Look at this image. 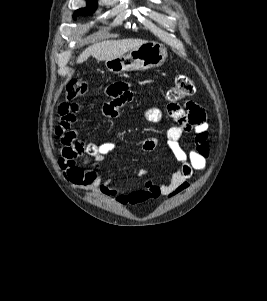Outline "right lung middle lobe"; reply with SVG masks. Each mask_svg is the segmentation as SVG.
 Segmentation results:
<instances>
[{"instance_id":"obj_1","label":"right lung middle lobe","mask_w":267,"mask_h":301,"mask_svg":"<svg viewBox=\"0 0 267 301\" xmlns=\"http://www.w3.org/2000/svg\"><path fill=\"white\" fill-rule=\"evenodd\" d=\"M95 7H96V1L88 0L87 7L76 10L73 15V18L76 19V17L80 15H90L94 12Z\"/></svg>"}]
</instances>
